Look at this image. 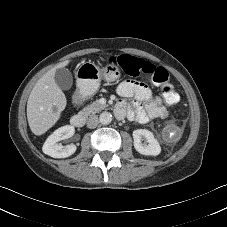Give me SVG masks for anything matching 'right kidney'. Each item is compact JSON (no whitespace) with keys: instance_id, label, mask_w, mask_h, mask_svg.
<instances>
[{"instance_id":"1","label":"right kidney","mask_w":227,"mask_h":227,"mask_svg":"<svg viewBox=\"0 0 227 227\" xmlns=\"http://www.w3.org/2000/svg\"><path fill=\"white\" fill-rule=\"evenodd\" d=\"M74 127L71 125H65L55 130L45 141L42 150L45 154L53 158H66L71 156L76 151V146L70 144L63 146L57 144L58 141L68 139L74 135Z\"/></svg>"}]
</instances>
